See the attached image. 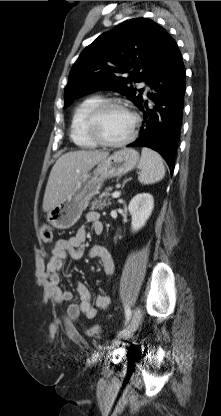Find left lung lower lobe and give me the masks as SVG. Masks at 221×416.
Segmentation results:
<instances>
[{
	"label": "left lung lower lobe",
	"instance_id": "1",
	"mask_svg": "<svg viewBox=\"0 0 221 416\" xmlns=\"http://www.w3.org/2000/svg\"><path fill=\"white\" fill-rule=\"evenodd\" d=\"M147 83L153 90L147 95L152 105L148 106L146 99L139 105L144 125L138 139L128 146H146L157 151L172 174L183 117L185 68L178 46L168 33Z\"/></svg>",
	"mask_w": 221,
	"mask_h": 416
}]
</instances>
